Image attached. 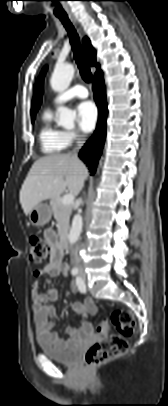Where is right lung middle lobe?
<instances>
[{
  "label": "right lung middle lobe",
  "instance_id": "1",
  "mask_svg": "<svg viewBox=\"0 0 168 406\" xmlns=\"http://www.w3.org/2000/svg\"><path fill=\"white\" fill-rule=\"evenodd\" d=\"M34 122V118L32 119V123Z\"/></svg>",
  "mask_w": 168,
  "mask_h": 406
}]
</instances>
